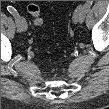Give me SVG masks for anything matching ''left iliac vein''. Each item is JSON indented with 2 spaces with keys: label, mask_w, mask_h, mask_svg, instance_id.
Returning <instances> with one entry per match:
<instances>
[{
  "label": "left iliac vein",
  "mask_w": 109,
  "mask_h": 109,
  "mask_svg": "<svg viewBox=\"0 0 109 109\" xmlns=\"http://www.w3.org/2000/svg\"><path fill=\"white\" fill-rule=\"evenodd\" d=\"M82 14H83V6L79 5L73 14V22L74 23H78V22H82Z\"/></svg>",
  "instance_id": "left-iliac-vein-1"
}]
</instances>
